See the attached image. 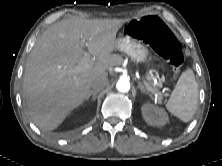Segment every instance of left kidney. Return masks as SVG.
Here are the masks:
<instances>
[{
	"mask_svg": "<svg viewBox=\"0 0 222 166\" xmlns=\"http://www.w3.org/2000/svg\"><path fill=\"white\" fill-rule=\"evenodd\" d=\"M141 111L144 120L150 125L164 126L168 122V115L165 110L150 103L143 104Z\"/></svg>",
	"mask_w": 222,
	"mask_h": 166,
	"instance_id": "5707ae66",
	"label": "left kidney"
}]
</instances>
